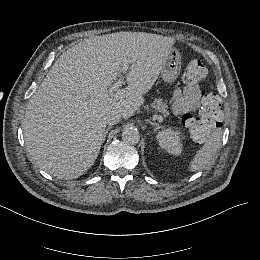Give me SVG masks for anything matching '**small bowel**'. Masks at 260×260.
Instances as JSON below:
<instances>
[{"label":"small bowel","instance_id":"small-bowel-1","mask_svg":"<svg viewBox=\"0 0 260 260\" xmlns=\"http://www.w3.org/2000/svg\"><path fill=\"white\" fill-rule=\"evenodd\" d=\"M208 93L198 85L175 88L172 92V111L176 115L205 110Z\"/></svg>","mask_w":260,"mask_h":260}]
</instances>
